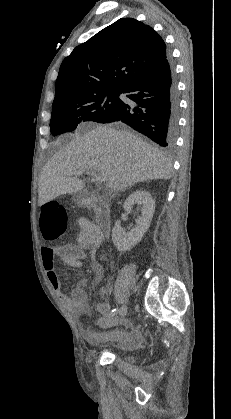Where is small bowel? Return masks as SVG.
<instances>
[{
	"instance_id": "1",
	"label": "small bowel",
	"mask_w": 231,
	"mask_h": 419,
	"mask_svg": "<svg viewBox=\"0 0 231 419\" xmlns=\"http://www.w3.org/2000/svg\"><path fill=\"white\" fill-rule=\"evenodd\" d=\"M77 224L80 232L77 236L76 244H66L56 248L45 247L42 249L43 267L47 278L65 304L66 308L74 314H80L88 310V297L84 289V282H80L72 288L68 295L64 293L59 277L55 271V260L69 267H81L89 261L90 267L94 272V283H98L101 277V269L96 260V251L103 238L98 227L85 217H79ZM88 251V252H86ZM106 292L103 290L102 295ZM101 316L96 324L100 331L82 328L81 332L85 340L96 343L101 340H110L121 346L132 348L137 346L140 333L137 330H130L127 322H117L110 313V307L106 303L98 305Z\"/></svg>"
}]
</instances>
